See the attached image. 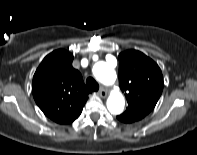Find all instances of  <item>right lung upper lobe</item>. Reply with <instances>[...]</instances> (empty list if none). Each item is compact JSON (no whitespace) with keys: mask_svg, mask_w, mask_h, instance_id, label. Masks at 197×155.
I'll list each match as a JSON object with an SVG mask.
<instances>
[{"mask_svg":"<svg viewBox=\"0 0 197 155\" xmlns=\"http://www.w3.org/2000/svg\"><path fill=\"white\" fill-rule=\"evenodd\" d=\"M73 55L59 49L47 55L33 76V97L43 113L58 124L79 117L91 91L72 67Z\"/></svg>","mask_w":197,"mask_h":155,"instance_id":"cb5924a9","label":"right lung upper lobe"}]
</instances>
